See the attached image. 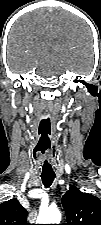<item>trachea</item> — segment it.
Segmentation results:
<instances>
[{"mask_svg": "<svg viewBox=\"0 0 101 225\" xmlns=\"http://www.w3.org/2000/svg\"><path fill=\"white\" fill-rule=\"evenodd\" d=\"M42 178V182L44 184V186L46 188L50 187L54 178H55V175H47V176H41Z\"/></svg>", "mask_w": 101, "mask_h": 225, "instance_id": "obj_1", "label": "trachea"}]
</instances>
